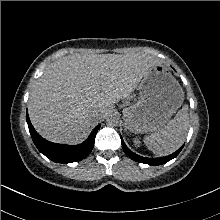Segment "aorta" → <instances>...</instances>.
<instances>
[{"mask_svg": "<svg viewBox=\"0 0 220 220\" xmlns=\"http://www.w3.org/2000/svg\"><path fill=\"white\" fill-rule=\"evenodd\" d=\"M107 124L110 125V126H116L119 122V117L117 114L115 113H111L108 115L107 117Z\"/></svg>", "mask_w": 220, "mask_h": 220, "instance_id": "762f6f07", "label": "aorta"}]
</instances>
